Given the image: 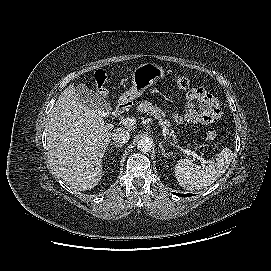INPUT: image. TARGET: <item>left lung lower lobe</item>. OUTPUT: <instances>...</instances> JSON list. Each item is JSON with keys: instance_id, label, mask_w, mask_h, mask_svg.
Returning <instances> with one entry per match:
<instances>
[{"instance_id": "0a47b994", "label": "left lung lower lobe", "mask_w": 271, "mask_h": 271, "mask_svg": "<svg viewBox=\"0 0 271 271\" xmlns=\"http://www.w3.org/2000/svg\"><path fill=\"white\" fill-rule=\"evenodd\" d=\"M173 194H175V195H177V196H181L182 197V194H178V193H173ZM192 194H186V195H184V197H188V196H191Z\"/></svg>"}]
</instances>
